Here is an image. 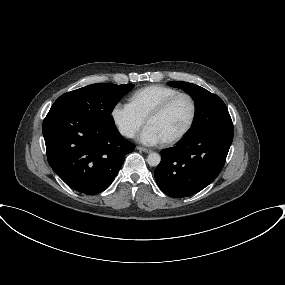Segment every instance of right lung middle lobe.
<instances>
[{"label": "right lung middle lobe", "mask_w": 285, "mask_h": 285, "mask_svg": "<svg viewBox=\"0 0 285 285\" xmlns=\"http://www.w3.org/2000/svg\"><path fill=\"white\" fill-rule=\"evenodd\" d=\"M133 87V84H92L61 95L52 106L71 109L95 123L114 127L112 110Z\"/></svg>", "instance_id": "right-lung-middle-lobe-1"}]
</instances>
